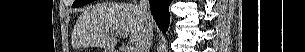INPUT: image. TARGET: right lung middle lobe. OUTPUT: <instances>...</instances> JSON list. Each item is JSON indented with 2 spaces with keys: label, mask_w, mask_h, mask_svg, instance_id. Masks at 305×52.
Masks as SVG:
<instances>
[{
  "label": "right lung middle lobe",
  "mask_w": 305,
  "mask_h": 52,
  "mask_svg": "<svg viewBox=\"0 0 305 52\" xmlns=\"http://www.w3.org/2000/svg\"><path fill=\"white\" fill-rule=\"evenodd\" d=\"M92 0H76L74 3H73V7H79V6H82V5H85L86 3H89L91 2Z\"/></svg>",
  "instance_id": "obj_1"
}]
</instances>
